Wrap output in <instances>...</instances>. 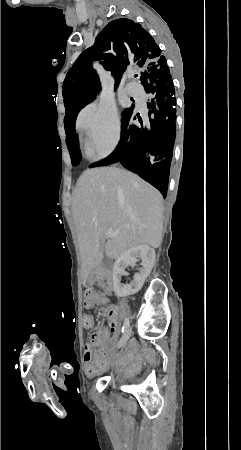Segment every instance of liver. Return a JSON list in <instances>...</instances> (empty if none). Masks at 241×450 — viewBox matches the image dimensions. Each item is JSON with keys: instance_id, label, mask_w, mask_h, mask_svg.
Segmentation results:
<instances>
[{"instance_id": "6515ba94", "label": "liver", "mask_w": 241, "mask_h": 450, "mask_svg": "<svg viewBox=\"0 0 241 450\" xmlns=\"http://www.w3.org/2000/svg\"><path fill=\"white\" fill-rule=\"evenodd\" d=\"M162 200L156 188L127 170L92 168L83 172L72 202L83 280L101 264L103 254L115 260L140 244L159 248ZM109 228L118 232L116 238H108Z\"/></svg>"}]
</instances>
